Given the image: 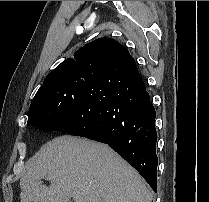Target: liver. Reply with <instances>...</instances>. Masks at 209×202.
Listing matches in <instances>:
<instances>
[{
	"label": "liver",
	"instance_id": "1",
	"mask_svg": "<svg viewBox=\"0 0 209 202\" xmlns=\"http://www.w3.org/2000/svg\"><path fill=\"white\" fill-rule=\"evenodd\" d=\"M20 179L21 202H151L141 176L107 145L68 135L43 145ZM42 179L50 181L42 185Z\"/></svg>",
	"mask_w": 209,
	"mask_h": 202
}]
</instances>
